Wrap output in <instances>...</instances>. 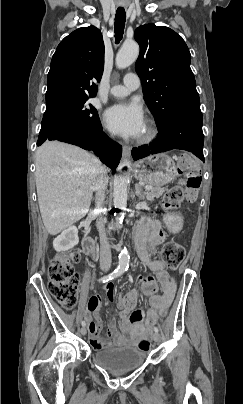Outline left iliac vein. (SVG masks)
<instances>
[{"mask_svg": "<svg viewBox=\"0 0 243 404\" xmlns=\"http://www.w3.org/2000/svg\"><path fill=\"white\" fill-rule=\"evenodd\" d=\"M153 340H154L155 342H159V341H160V335H159V333L155 332V333L153 334Z\"/></svg>", "mask_w": 243, "mask_h": 404, "instance_id": "left-iliac-vein-1", "label": "left iliac vein"}]
</instances>
